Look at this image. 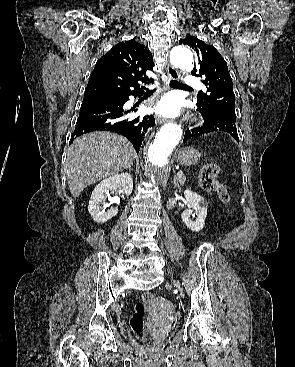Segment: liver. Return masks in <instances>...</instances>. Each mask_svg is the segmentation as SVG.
Wrapping results in <instances>:
<instances>
[{
    "label": "liver",
    "mask_w": 295,
    "mask_h": 367,
    "mask_svg": "<svg viewBox=\"0 0 295 367\" xmlns=\"http://www.w3.org/2000/svg\"><path fill=\"white\" fill-rule=\"evenodd\" d=\"M134 158L132 144L114 133L93 132L75 139L65 163L71 194L78 197L92 183L131 166Z\"/></svg>",
    "instance_id": "liver-1"
}]
</instances>
